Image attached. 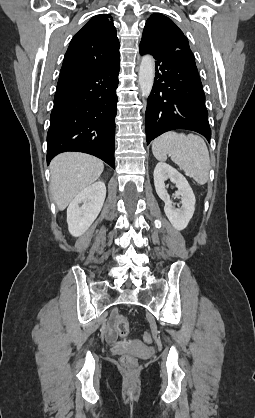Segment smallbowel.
Instances as JSON below:
<instances>
[{
  "mask_svg": "<svg viewBox=\"0 0 255 418\" xmlns=\"http://www.w3.org/2000/svg\"><path fill=\"white\" fill-rule=\"evenodd\" d=\"M106 336L109 341H114L117 337L116 329L113 323H110L106 329Z\"/></svg>",
  "mask_w": 255,
  "mask_h": 418,
  "instance_id": "1",
  "label": "small bowel"
}]
</instances>
